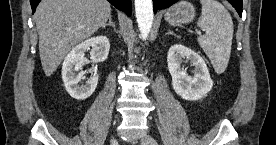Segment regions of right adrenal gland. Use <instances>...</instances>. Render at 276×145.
Returning a JSON list of instances; mask_svg holds the SVG:
<instances>
[{
	"instance_id": "right-adrenal-gland-1",
	"label": "right adrenal gland",
	"mask_w": 276,
	"mask_h": 145,
	"mask_svg": "<svg viewBox=\"0 0 276 145\" xmlns=\"http://www.w3.org/2000/svg\"><path fill=\"white\" fill-rule=\"evenodd\" d=\"M107 26H112L115 29V23L112 21L111 16L109 17V22L102 26V28H106Z\"/></svg>"
}]
</instances>
